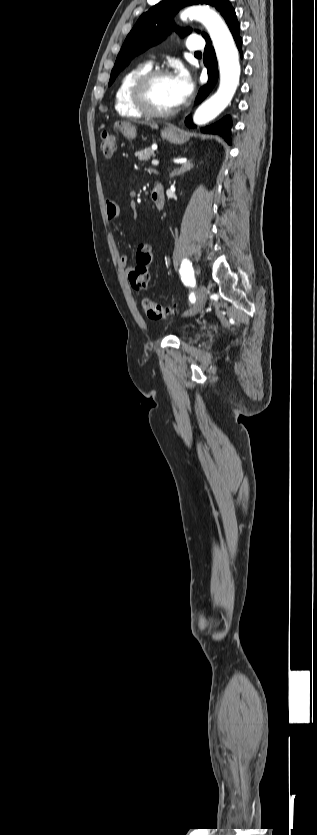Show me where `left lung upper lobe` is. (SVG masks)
<instances>
[{
    "label": "left lung upper lobe",
    "mask_w": 317,
    "mask_h": 835,
    "mask_svg": "<svg viewBox=\"0 0 317 835\" xmlns=\"http://www.w3.org/2000/svg\"><path fill=\"white\" fill-rule=\"evenodd\" d=\"M193 4L211 5L220 11L224 19L232 8L228 0H164L156 4L140 16L126 37L112 69L109 85L135 56L161 42L172 30H177L181 36L189 34L191 29H178L173 17L182 7ZM202 35L205 39L209 38L205 33Z\"/></svg>",
    "instance_id": "obj_1"
}]
</instances>
